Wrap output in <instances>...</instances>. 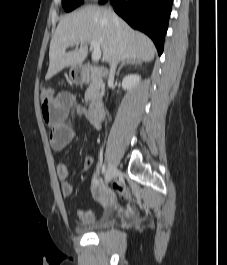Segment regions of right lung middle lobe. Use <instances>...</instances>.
<instances>
[{
    "label": "right lung middle lobe",
    "mask_w": 227,
    "mask_h": 265,
    "mask_svg": "<svg viewBox=\"0 0 227 265\" xmlns=\"http://www.w3.org/2000/svg\"><path fill=\"white\" fill-rule=\"evenodd\" d=\"M82 2L80 0H62L65 11L69 12L78 7Z\"/></svg>",
    "instance_id": "obj_1"
}]
</instances>
